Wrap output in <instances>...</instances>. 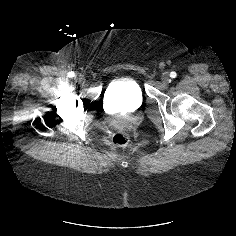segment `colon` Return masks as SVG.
I'll use <instances>...</instances> for the list:
<instances>
[{
    "instance_id": "1",
    "label": "colon",
    "mask_w": 236,
    "mask_h": 236,
    "mask_svg": "<svg viewBox=\"0 0 236 236\" xmlns=\"http://www.w3.org/2000/svg\"><path fill=\"white\" fill-rule=\"evenodd\" d=\"M109 142L117 148H124L129 143V134L126 131H118L110 135Z\"/></svg>"
}]
</instances>
